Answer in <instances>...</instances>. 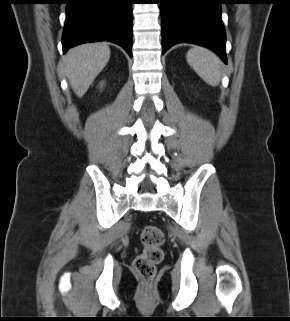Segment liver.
Wrapping results in <instances>:
<instances>
[{
  "label": "liver",
  "instance_id": "1",
  "mask_svg": "<svg viewBox=\"0 0 290 321\" xmlns=\"http://www.w3.org/2000/svg\"><path fill=\"white\" fill-rule=\"evenodd\" d=\"M109 58L110 48L100 42L76 46L63 57L62 69L79 98L87 92Z\"/></svg>",
  "mask_w": 290,
  "mask_h": 321
}]
</instances>
